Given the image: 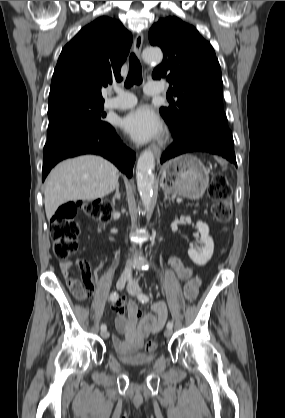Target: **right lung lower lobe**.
<instances>
[{"label":"right lung lower lobe","mask_w":285,"mask_h":418,"mask_svg":"<svg viewBox=\"0 0 285 418\" xmlns=\"http://www.w3.org/2000/svg\"><path fill=\"white\" fill-rule=\"evenodd\" d=\"M96 154L114 163L128 178L135 153L127 148L110 125L103 129H76L47 141L43 152L42 180L58 162L78 155Z\"/></svg>","instance_id":"1"}]
</instances>
